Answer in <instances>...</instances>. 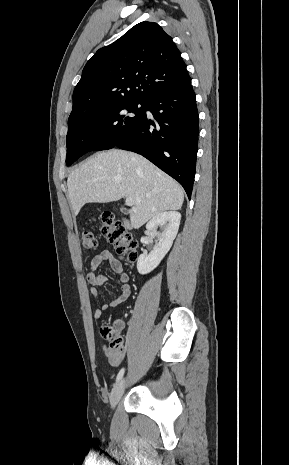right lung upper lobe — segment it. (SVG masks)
I'll use <instances>...</instances> for the list:
<instances>
[{"mask_svg": "<svg viewBox=\"0 0 289 465\" xmlns=\"http://www.w3.org/2000/svg\"><path fill=\"white\" fill-rule=\"evenodd\" d=\"M191 81L180 51L163 29L141 22L113 44L99 49L85 65L73 93L68 129L86 105L126 99L147 100Z\"/></svg>", "mask_w": 289, "mask_h": 465, "instance_id": "cb5924a9", "label": "right lung upper lobe"}]
</instances>
